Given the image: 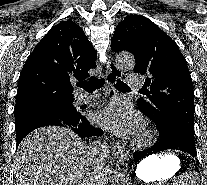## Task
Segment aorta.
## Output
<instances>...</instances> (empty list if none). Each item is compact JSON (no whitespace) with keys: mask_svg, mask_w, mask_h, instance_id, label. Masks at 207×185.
Here are the masks:
<instances>
[{"mask_svg":"<svg viewBox=\"0 0 207 185\" xmlns=\"http://www.w3.org/2000/svg\"><path fill=\"white\" fill-rule=\"evenodd\" d=\"M117 66L122 71L130 70L135 65V59L130 53L119 54L116 58ZM129 156L127 153H120L116 159L112 175V185H129L128 173Z\"/></svg>","mask_w":207,"mask_h":185,"instance_id":"762f6f07","label":"aorta"}]
</instances>
